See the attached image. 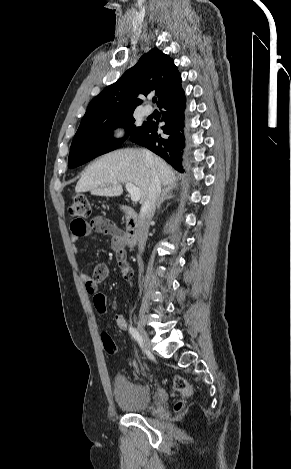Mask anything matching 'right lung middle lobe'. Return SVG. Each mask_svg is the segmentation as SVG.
Wrapping results in <instances>:
<instances>
[{
    "label": "right lung middle lobe",
    "mask_w": 291,
    "mask_h": 469,
    "mask_svg": "<svg viewBox=\"0 0 291 469\" xmlns=\"http://www.w3.org/2000/svg\"><path fill=\"white\" fill-rule=\"evenodd\" d=\"M134 122L133 112L81 121L70 148L68 167L75 168L118 148L123 140L112 138V131L126 127V134L130 135L144 125L136 127Z\"/></svg>",
    "instance_id": "dd1d6c3e"
}]
</instances>
